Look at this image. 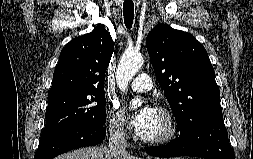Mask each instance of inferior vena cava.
Listing matches in <instances>:
<instances>
[{
  "mask_svg": "<svg viewBox=\"0 0 253 159\" xmlns=\"http://www.w3.org/2000/svg\"><path fill=\"white\" fill-rule=\"evenodd\" d=\"M127 140L125 137L124 127L116 126L110 131L108 150L111 154H126Z\"/></svg>",
  "mask_w": 253,
  "mask_h": 159,
  "instance_id": "inferior-vena-cava-1",
  "label": "inferior vena cava"
}]
</instances>
